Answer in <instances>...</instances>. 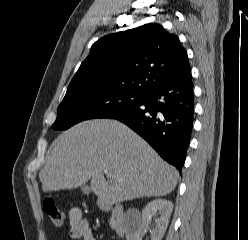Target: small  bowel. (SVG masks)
Returning <instances> with one entry per match:
<instances>
[{"instance_id": "1", "label": "small bowel", "mask_w": 248, "mask_h": 240, "mask_svg": "<svg viewBox=\"0 0 248 240\" xmlns=\"http://www.w3.org/2000/svg\"><path fill=\"white\" fill-rule=\"evenodd\" d=\"M69 236L77 240H95L90 222L83 217L79 208H72L69 212Z\"/></svg>"}]
</instances>
